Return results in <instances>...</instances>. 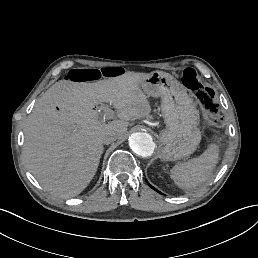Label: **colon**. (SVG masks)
I'll use <instances>...</instances> for the list:
<instances>
[{"mask_svg":"<svg viewBox=\"0 0 258 258\" xmlns=\"http://www.w3.org/2000/svg\"><path fill=\"white\" fill-rule=\"evenodd\" d=\"M121 73L122 69L119 67L81 68L70 70L66 75V79L77 83H91L101 79L115 78L121 75ZM181 80L206 112L210 114L217 112L213 90L202 83L194 69H185L181 75Z\"/></svg>","mask_w":258,"mask_h":258,"instance_id":"5ec220e1","label":"colon"}]
</instances>
